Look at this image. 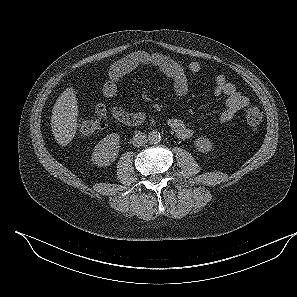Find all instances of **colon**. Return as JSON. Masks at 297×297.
Here are the masks:
<instances>
[{
  "label": "colon",
  "mask_w": 297,
  "mask_h": 297,
  "mask_svg": "<svg viewBox=\"0 0 297 297\" xmlns=\"http://www.w3.org/2000/svg\"><path fill=\"white\" fill-rule=\"evenodd\" d=\"M263 119V111L257 106H248L244 110L243 121L247 128H256ZM105 126L103 118H96L92 120H80L77 124L78 132L83 136L92 135L100 132Z\"/></svg>",
  "instance_id": "5ec220e1"
}]
</instances>
